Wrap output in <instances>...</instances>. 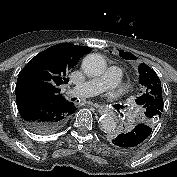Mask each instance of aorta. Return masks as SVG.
Masks as SVG:
<instances>
[{
    "label": "aorta",
    "mask_w": 177,
    "mask_h": 177,
    "mask_svg": "<svg viewBox=\"0 0 177 177\" xmlns=\"http://www.w3.org/2000/svg\"><path fill=\"white\" fill-rule=\"evenodd\" d=\"M107 68L104 57L97 53L88 54L82 61V69L88 76L96 77L102 75ZM101 128L106 133H111L116 128V120L111 115H103L100 118Z\"/></svg>",
    "instance_id": "762f6f07"
}]
</instances>
